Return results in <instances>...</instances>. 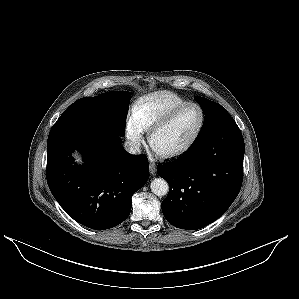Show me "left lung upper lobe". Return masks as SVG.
<instances>
[{
    "instance_id": "left-lung-upper-lobe-1",
    "label": "left lung upper lobe",
    "mask_w": 299,
    "mask_h": 299,
    "mask_svg": "<svg viewBox=\"0 0 299 299\" xmlns=\"http://www.w3.org/2000/svg\"><path fill=\"white\" fill-rule=\"evenodd\" d=\"M195 100L201 106L205 119L199 135L193 144L201 142L208 134L216 130L228 120L232 119L227 110L220 104L210 101L203 97H195Z\"/></svg>"
}]
</instances>
